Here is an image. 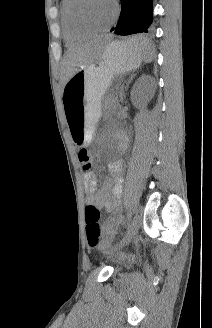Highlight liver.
<instances>
[{"label":"liver","mask_w":212,"mask_h":328,"mask_svg":"<svg viewBox=\"0 0 212 328\" xmlns=\"http://www.w3.org/2000/svg\"><path fill=\"white\" fill-rule=\"evenodd\" d=\"M108 39L69 49L63 58V84H65L79 69L95 67Z\"/></svg>","instance_id":"6515ba94"}]
</instances>
